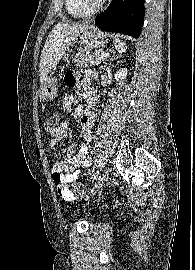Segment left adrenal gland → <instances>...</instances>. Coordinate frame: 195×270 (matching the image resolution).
<instances>
[{
  "label": "left adrenal gland",
  "instance_id": "a2214340",
  "mask_svg": "<svg viewBox=\"0 0 195 270\" xmlns=\"http://www.w3.org/2000/svg\"><path fill=\"white\" fill-rule=\"evenodd\" d=\"M113 59H109V61H112ZM105 65L107 64V63H104Z\"/></svg>",
  "mask_w": 195,
  "mask_h": 270
}]
</instances>
